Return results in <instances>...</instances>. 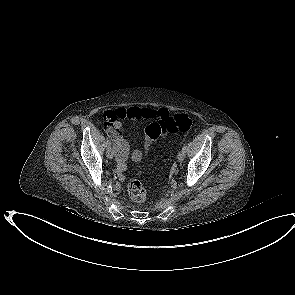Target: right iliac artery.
<instances>
[{"label": "right iliac artery", "mask_w": 295, "mask_h": 295, "mask_svg": "<svg viewBox=\"0 0 295 295\" xmlns=\"http://www.w3.org/2000/svg\"><path fill=\"white\" fill-rule=\"evenodd\" d=\"M108 137L110 136L108 135ZM110 145H111V142L107 141V147H109Z\"/></svg>", "instance_id": "obj_1"}]
</instances>
